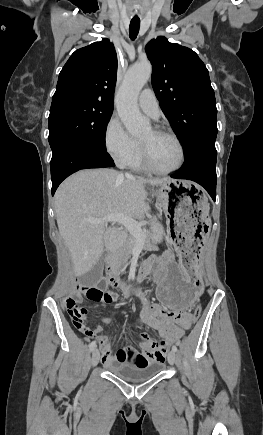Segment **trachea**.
Instances as JSON below:
<instances>
[{
  "mask_svg": "<svg viewBox=\"0 0 263 435\" xmlns=\"http://www.w3.org/2000/svg\"><path fill=\"white\" fill-rule=\"evenodd\" d=\"M140 28V20L132 19L129 26V37L131 40H135Z\"/></svg>",
  "mask_w": 263,
  "mask_h": 435,
  "instance_id": "trachea-1",
  "label": "trachea"
}]
</instances>
